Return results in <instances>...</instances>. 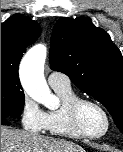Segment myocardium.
<instances>
[{"label": "myocardium", "instance_id": "1", "mask_svg": "<svg viewBox=\"0 0 123 152\" xmlns=\"http://www.w3.org/2000/svg\"><path fill=\"white\" fill-rule=\"evenodd\" d=\"M85 104H90V105L95 106L104 115L105 120H106V126H105V129L101 133L89 134L85 132L83 128L81 127L80 122H79V112H80L81 107ZM68 117L74 131L81 137L88 138V139H98V138L103 137L104 135L108 133L111 126V119L105 107L98 101L90 99V98L77 97L74 100H72L68 105Z\"/></svg>", "mask_w": 123, "mask_h": 152}]
</instances>
